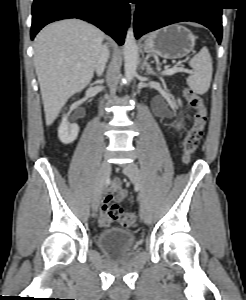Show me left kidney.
I'll return each mask as SVG.
<instances>
[{
	"label": "left kidney",
	"instance_id": "left-kidney-1",
	"mask_svg": "<svg viewBox=\"0 0 246 300\" xmlns=\"http://www.w3.org/2000/svg\"><path fill=\"white\" fill-rule=\"evenodd\" d=\"M178 103H179V105H181V101L180 100H178Z\"/></svg>",
	"mask_w": 246,
	"mask_h": 300
}]
</instances>
